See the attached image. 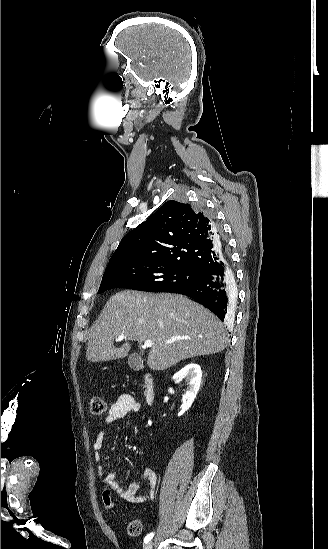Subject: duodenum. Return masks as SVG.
Segmentation results:
<instances>
[{
	"label": "duodenum",
	"mask_w": 328,
	"mask_h": 549,
	"mask_svg": "<svg viewBox=\"0 0 328 549\" xmlns=\"http://www.w3.org/2000/svg\"><path fill=\"white\" fill-rule=\"evenodd\" d=\"M144 396L148 405L152 406L155 403V382L151 374L146 373L143 377Z\"/></svg>",
	"instance_id": "duodenum-1"
}]
</instances>
